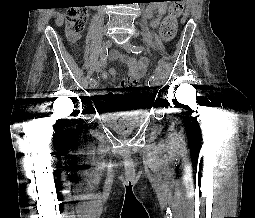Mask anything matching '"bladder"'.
I'll use <instances>...</instances> for the list:
<instances>
[{
	"label": "bladder",
	"instance_id": "obj_1",
	"mask_svg": "<svg viewBox=\"0 0 255 218\" xmlns=\"http://www.w3.org/2000/svg\"><path fill=\"white\" fill-rule=\"evenodd\" d=\"M134 122H135V119L134 118H129L127 119L126 121L122 122V123H119L117 125V128L119 130H125V129H128L130 127H132L134 125Z\"/></svg>",
	"mask_w": 255,
	"mask_h": 218
}]
</instances>
